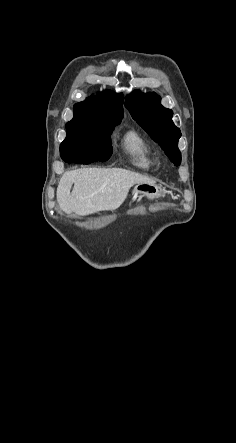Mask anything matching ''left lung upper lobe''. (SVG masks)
Here are the masks:
<instances>
[{"instance_id": "1", "label": "left lung upper lobe", "mask_w": 236, "mask_h": 443, "mask_svg": "<svg viewBox=\"0 0 236 443\" xmlns=\"http://www.w3.org/2000/svg\"><path fill=\"white\" fill-rule=\"evenodd\" d=\"M160 100L156 93L144 94L135 90L126 97L125 106L133 119L161 145L169 159L178 166L181 163L178 149L181 132L172 121V110L163 107Z\"/></svg>"}]
</instances>
